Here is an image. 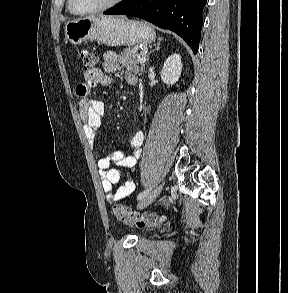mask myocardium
<instances>
[{
	"instance_id": "obj_1",
	"label": "myocardium",
	"mask_w": 288,
	"mask_h": 293,
	"mask_svg": "<svg viewBox=\"0 0 288 293\" xmlns=\"http://www.w3.org/2000/svg\"><path fill=\"white\" fill-rule=\"evenodd\" d=\"M122 0H111L110 2L93 8V9H88V10H82L79 9L78 7H76L74 0H68V4L70 9L72 10L73 13L78 14V15H87V14H93V13H97V12H102L105 11L107 9H110L116 5H118Z\"/></svg>"
}]
</instances>
